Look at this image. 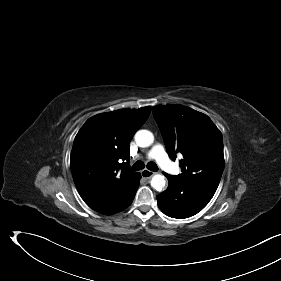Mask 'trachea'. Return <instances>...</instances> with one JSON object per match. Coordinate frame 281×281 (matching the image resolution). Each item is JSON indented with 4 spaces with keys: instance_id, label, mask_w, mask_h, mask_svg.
Segmentation results:
<instances>
[{
    "instance_id": "trachea-1",
    "label": "trachea",
    "mask_w": 281,
    "mask_h": 281,
    "mask_svg": "<svg viewBox=\"0 0 281 281\" xmlns=\"http://www.w3.org/2000/svg\"><path fill=\"white\" fill-rule=\"evenodd\" d=\"M144 168V163L142 161H137L135 162V164L132 167V170H142ZM147 168L151 171H157L158 170V166L154 163V162H149L147 164Z\"/></svg>"
}]
</instances>
